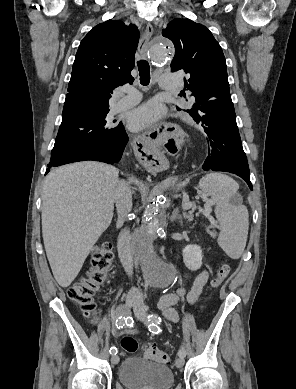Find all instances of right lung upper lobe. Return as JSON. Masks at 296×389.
<instances>
[{
    "label": "right lung upper lobe",
    "instance_id": "right-lung-upper-lobe-1",
    "mask_svg": "<svg viewBox=\"0 0 296 389\" xmlns=\"http://www.w3.org/2000/svg\"><path fill=\"white\" fill-rule=\"evenodd\" d=\"M137 27L119 20L95 26L81 41L73 63L62 117L109 111V99L118 86L132 84Z\"/></svg>",
    "mask_w": 296,
    "mask_h": 389
}]
</instances>
